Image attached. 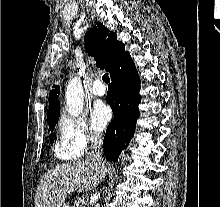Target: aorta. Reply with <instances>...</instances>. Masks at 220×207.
<instances>
[{"instance_id":"1","label":"aorta","mask_w":220,"mask_h":207,"mask_svg":"<svg viewBox=\"0 0 220 207\" xmlns=\"http://www.w3.org/2000/svg\"><path fill=\"white\" fill-rule=\"evenodd\" d=\"M65 95L68 114L72 117L80 115L84 105V90L79 77H74L68 82Z\"/></svg>"}]
</instances>
